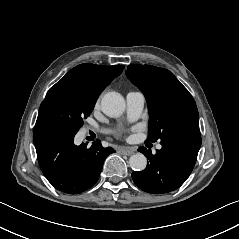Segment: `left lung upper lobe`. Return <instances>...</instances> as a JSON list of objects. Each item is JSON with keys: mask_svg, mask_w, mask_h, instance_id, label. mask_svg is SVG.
<instances>
[{"mask_svg": "<svg viewBox=\"0 0 239 239\" xmlns=\"http://www.w3.org/2000/svg\"><path fill=\"white\" fill-rule=\"evenodd\" d=\"M126 74L147 100L150 114L147 142L182 129L199 130L196 103L170 71L150 65H129Z\"/></svg>", "mask_w": 239, "mask_h": 239, "instance_id": "obj_1", "label": "left lung upper lobe"}]
</instances>
